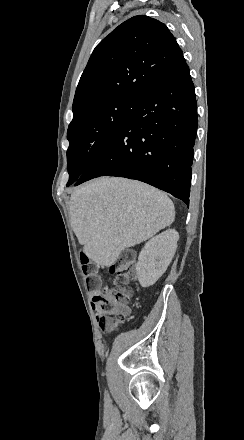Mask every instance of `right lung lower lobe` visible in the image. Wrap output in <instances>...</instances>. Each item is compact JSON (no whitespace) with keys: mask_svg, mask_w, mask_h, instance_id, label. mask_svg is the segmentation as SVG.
Masks as SVG:
<instances>
[{"mask_svg":"<svg viewBox=\"0 0 244 440\" xmlns=\"http://www.w3.org/2000/svg\"><path fill=\"white\" fill-rule=\"evenodd\" d=\"M196 130L195 90L184 62L145 92L75 185L100 176L136 179L189 206Z\"/></svg>","mask_w":244,"mask_h":440,"instance_id":"98d812e1","label":"right lung lower lobe"}]
</instances>
